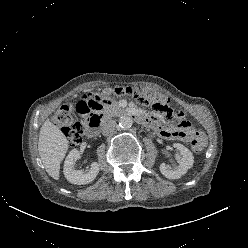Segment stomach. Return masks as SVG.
<instances>
[{
    "mask_svg": "<svg viewBox=\"0 0 248 248\" xmlns=\"http://www.w3.org/2000/svg\"><path fill=\"white\" fill-rule=\"evenodd\" d=\"M84 104L87 108L98 110L102 115L108 116L115 112L117 104L113 97L103 95L99 90L92 89L85 93L83 98Z\"/></svg>",
    "mask_w": 248,
    "mask_h": 248,
    "instance_id": "1",
    "label": "stomach"
}]
</instances>
